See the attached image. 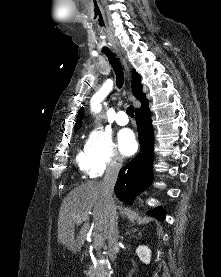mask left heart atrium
Here are the masks:
<instances>
[{"label": "left heart atrium", "instance_id": "obj_1", "mask_svg": "<svg viewBox=\"0 0 221 277\" xmlns=\"http://www.w3.org/2000/svg\"><path fill=\"white\" fill-rule=\"evenodd\" d=\"M118 146L123 155L129 156L136 152L138 144L131 130L124 129L119 132Z\"/></svg>", "mask_w": 221, "mask_h": 277}]
</instances>
